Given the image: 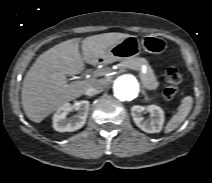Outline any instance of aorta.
I'll return each instance as SVG.
<instances>
[{
	"label": "aorta",
	"mask_w": 212,
	"mask_h": 183,
	"mask_svg": "<svg viewBox=\"0 0 212 183\" xmlns=\"http://www.w3.org/2000/svg\"><path fill=\"white\" fill-rule=\"evenodd\" d=\"M113 91L118 100L129 101L138 96L140 83L133 75H122L114 81Z\"/></svg>",
	"instance_id": "1"
}]
</instances>
